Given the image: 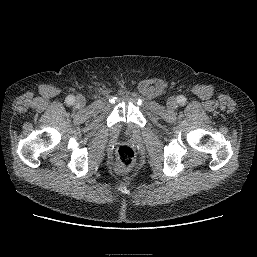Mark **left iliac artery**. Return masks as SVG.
Returning <instances> with one entry per match:
<instances>
[{
  "instance_id": "1",
  "label": "left iliac artery",
  "mask_w": 257,
  "mask_h": 257,
  "mask_svg": "<svg viewBox=\"0 0 257 257\" xmlns=\"http://www.w3.org/2000/svg\"><path fill=\"white\" fill-rule=\"evenodd\" d=\"M177 101L180 105H184L186 103V98L182 95L177 97Z\"/></svg>"
}]
</instances>
